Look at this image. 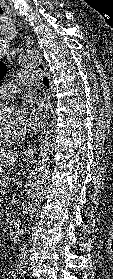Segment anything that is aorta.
I'll list each match as a JSON object with an SVG mask.
<instances>
[{
  "label": "aorta",
  "mask_w": 113,
  "mask_h": 279,
  "mask_svg": "<svg viewBox=\"0 0 113 279\" xmlns=\"http://www.w3.org/2000/svg\"><path fill=\"white\" fill-rule=\"evenodd\" d=\"M40 56V50L28 49L21 54L20 65L23 67H32L37 63ZM37 144L39 158L36 168L31 176L28 189V196L30 199L28 214L30 219L34 218L38 214L40 205L48 187L50 178L49 154L55 146L54 132L51 130L44 131V133L38 138Z\"/></svg>",
  "instance_id": "obj_1"
}]
</instances>
